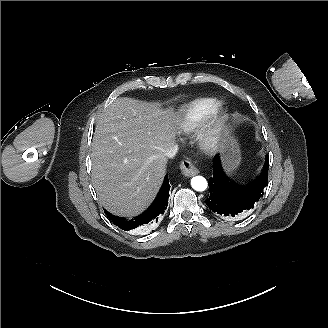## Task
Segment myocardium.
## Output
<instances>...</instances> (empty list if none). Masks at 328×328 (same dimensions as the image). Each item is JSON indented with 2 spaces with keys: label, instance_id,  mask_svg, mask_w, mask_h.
<instances>
[{
  "label": "myocardium",
  "instance_id": "f54148a6",
  "mask_svg": "<svg viewBox=\"0 0 328 328\" xmlns=\"http://www.w3.org/2000/svg\"><path fill=\"white\" fill-rule=\"evenodd\" d=\"M230 114L221 101H215L199 118L194 132L195 142L206 154H216L222 147L229 128Z\"/></svg>",
  "mask_w": 328,
  "mask_h": 328
}]
</instances>
